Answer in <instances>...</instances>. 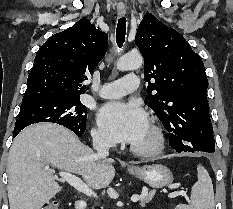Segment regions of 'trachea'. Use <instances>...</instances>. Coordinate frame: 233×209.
<instances>
[{"instance_id": "obj_1", "label": "trachea", "mask_w": 233, "mask_h": 209, "mask_svg": "<svg viewBox=\"0 0 233 209\" xmlns=\"http://www.w3.org/2000/svg\"><path fill=\"white\" fill-rule=\"evenodd\" d=\"M125 35H126V19L122 17L118 20L117 30H116V43L120 48L124 44Z\"/></svg>"}]
</instances>
